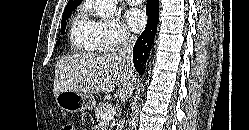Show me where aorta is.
<instances>
[{
    "label": "aorta",
    "mask_w": 249,
    "mask_h": 130,
    "mask_svg": "<svg viewBox=\"0 0 249 130\" xmlns=\"http://www.w3.org/2000/svg\"><path fill=\"white\" fill-rule=\"evenodd\" d=\"M117 8V0H96L94 3L95 13L102 19L114 17Z\"/></svg>",
    "instance_id": "obj_1"
}]
</instances>
